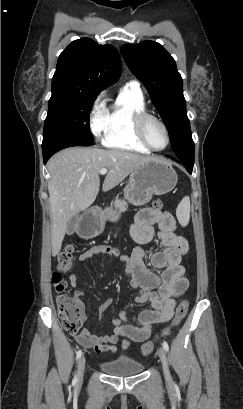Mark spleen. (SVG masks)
I'll use <instances>...</instances> for the list:
<instances>
[{
  "instance_id": "spleen-1",
  "label": "spleen",
  "mask_w": 243,
  "mask_h": 409,
  "mask_svg": "<svg viewBox=\"0 0 243 409\" xmlns=\"http://www.w3.org/2000/svg\"><path fill=\"white\" fill-rule=\"evenodd\" d=\"M176 216L182 226H186L190 220V198L185 196L176 209Z\"/></svg>"
}]
</instances>
